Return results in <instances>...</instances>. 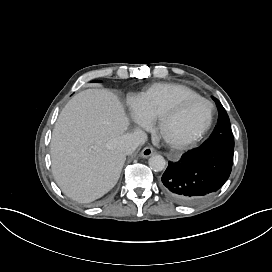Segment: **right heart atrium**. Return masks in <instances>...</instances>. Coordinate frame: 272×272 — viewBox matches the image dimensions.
Returning <instances> with one entry per match:
<instances>
[{
  "label": "right heart atrium",
  "mask_w": 272,
  "mask_h": 272,
  "mask_svg": "<svg viewBox=\"0 0 272 272\" xmlns=\"http://www.w3.org/2000/svg\"><path fill=\"white\" fill-rule=\"evenodd\" d=\"M137 123H138L139 125H145L147 122H146L144 119H139V120L137 121Z\"/></svg>",
  "instance_id": "d8ad5b80"
}]
</instances>
